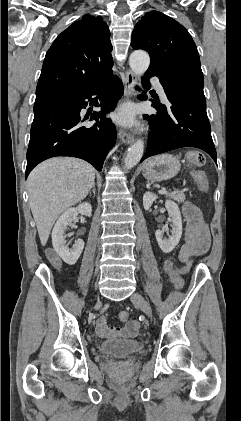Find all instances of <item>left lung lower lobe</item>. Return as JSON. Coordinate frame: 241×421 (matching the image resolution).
<instances>
[{"label": "left lung lower lobe", "mask_w": 241, "mask_h": 421, "mask_svg": "<svg viewBox=\"0 0 241 421\" xmlns=\"http://www.w3.org/2000/svg\"><path fill=\"white\" fill-rule=\"evenodd\" d=\"M157 76L166 93L167 105L152 101L156 115H144L152 128L147 151L141 159L181 147H195L207 152L217 163L216 149L206 113L203 86L194 82H178L161 72L149 69L142 77L143 86L150 88L148 79Z\"/></svg>", "instance_id": "0a47b994"}]
</instances>
